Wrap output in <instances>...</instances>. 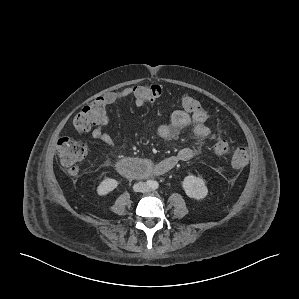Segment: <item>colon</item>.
<instances>
[{
    "label": "colon",
    "mask_w": 299,
    "mask_h": 299,
    "mask_svg": "<svg viewBox=\"0 0 299 299\" xmlns=\"http://www.w3.org/2000/svg\"><path fill=\"white\" fill-rule=\"evenodd\" d=\"M135 97L145 103L155 101L161 94L160 86L145 83L133 87ZM180 105L186 112H194L200 108L196 98L189 94H183L180 98ZM106 112V105L102 98H98L87 105L75 115L72 121V128L77 132H86L101 119ZM213 152L218 157L230 154L232 164L236 168H243L248 163V154L245 149L232 150L226 140L215 137ZM57 151L60 162L71 173L76 174L87 154V146L70 137L59 139Z\"/></svg>",
    "instance_id": "5ec220e1"
}]
</instances>
